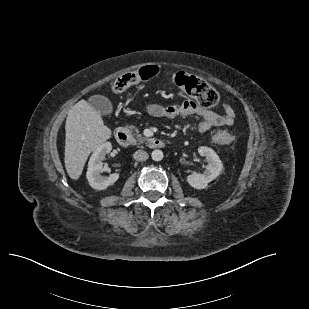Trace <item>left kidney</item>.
<instances>
[{
    "mask_svg": "<svg viewBox=\"0 0 309 309\" xmlns=\"http://www.w3.org/2000/svg\"><path fill=\"white\" fill-rule=\"evenodd\" d=\"M198 153L207 159L206 171L203 174L193 173L188 175L186 180L195 189H205L212 180L220 175L223 164L212 148L201 146L198 148Z\"/></svg>",
    "mask_w": 309,
    "mask_h": 309,
    "instance_id": "obj_1",
    "label": "left kidney"
}]
</instances>
